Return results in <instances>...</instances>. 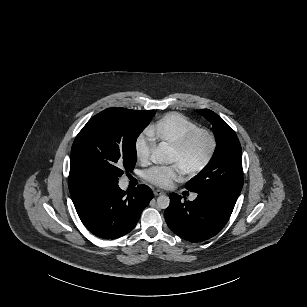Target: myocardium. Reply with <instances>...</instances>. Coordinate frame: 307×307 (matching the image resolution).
<instances>
[{
    "instance_id": "obj_1",
    "label": "myocardium",
    "mask_w": 307,
    "mask_h": 307,
    "mask_svg": "<svg viewBox=\"0 0 307 307\" xmlns=\"http://www.w3.org/2000/svg\"><path fill=\"white\" fill-rule=\"evenodd\" d=\"M201 139H204L208 144L207 152L200 162L186 169L189 174H198L204 170L212 161L218 148V139L216 135L208 130H200L190 135L182 142L175 145H170V149L175 153L185 154L194 144H196Z\"/></svg>"
}]
</instances>
